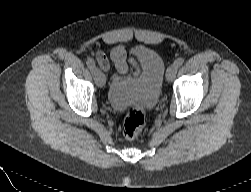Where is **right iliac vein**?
Masks as SVG:
<instances>
[{"label":"right iliac vein","instance_id":"obj_1","mask_svg":"<svg viewBox=\"0 0 251 192\" xmlns=\"http://www.w3.org/2000/svg\"><path fill=\"white\" fill-rule=\"evenodd\" d=\"M92 74L94 76L95 83L98 87L102 88L105 85V76L100 71L99 68L95 67L92 71Z\"/></svg>","mask_w":251,"mask_h":192}]
</instances>
